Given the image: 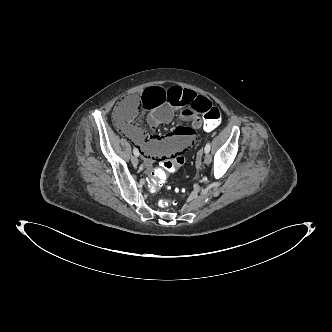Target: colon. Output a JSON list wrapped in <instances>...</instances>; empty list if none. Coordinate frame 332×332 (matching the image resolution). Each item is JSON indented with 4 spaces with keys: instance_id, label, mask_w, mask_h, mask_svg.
Listing matches in <instances>:
<instances>
[{
    "instance_id": "1",
    "label": "colon",
    "mask_w": 332,
    "mask_h": 332,
    "mask_svg": "<svg viewBox=\"0 0 332 332\" xmlns=\"http://www.w3.org/2000/svg\"><path fill=\"white\" fill-rule=\"evenodd\" d=\"M140 108H144L142 104V95H131L122 99L114 112L116 122L123 126L131 124V120ZM203 118V131L206 133H211L217 126L220 125L222 121V114L219 108L211 105L206 110H204ZM191 160L192 155L189 152H184L181 156H178L175 159H164L162 166L151 172L148 181L151 190L156 191L166 187L168 174L170 172L184 169L186 164H188ZM176 203L177 201L175 199L160 200L161 206H169Z\"/></svg>"
}]
</instances>
